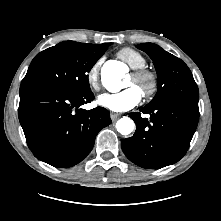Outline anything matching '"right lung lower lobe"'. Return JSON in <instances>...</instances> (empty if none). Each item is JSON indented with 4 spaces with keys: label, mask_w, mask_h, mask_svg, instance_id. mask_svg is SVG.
<instances>
[{
    "label": "right lung lower lobe",
    "mask_w": 221,
    "mask_h": 221,
    "mask_svg": "<svg viewBox=\"0 0 221 221\" xmlns=\"http://www.w3.org/2000/svg\"><path fill=\"white\" fill-rule=\"evenodd\" d=\"M94 98L91 90L74 93L46 84L21 85L18 116L34 156L59 168L82 161L97 133L111 123L103 107L78 109Z\"/></svg>",
    "instance_id": "right-lung-lower-lobe-1"
}]
</instances>
